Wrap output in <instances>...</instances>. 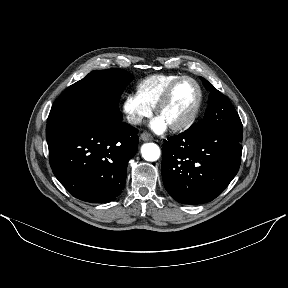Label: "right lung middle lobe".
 I'll list each match as a JSON object with an SVG mask.
<instances>
[{"label":"right lung middle lobe","instance_id":"dd1d6c3e","mask_svg":"<svg viewBox=\"0 0 288 288\" xmlns=\"http://www.w3.org/2000/svg\"><path fill=\"white\" fill-rule=\"evenodd\" d=\"M132 79L133 75L122 69L92 71L62 92L55 100L50 114L73 100L98 95L114 115L122 118L118 103L125 87Z\"/></svg>","mask_w":288,"mask_h":288}]
</instances>
